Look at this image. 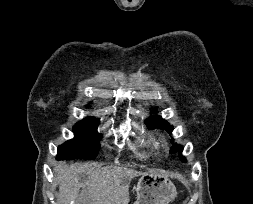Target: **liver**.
Returning a JSON list of instances; mask_svg holds the SVG:
<instances>
[{
    "label": "liver",
    "instance_id": "obj_1",
    "mask_svg": "<svg viewBox=\"0 0 253 204\" xmlns=\"http://www.w3.org/2000/svg\"><path fill=\"white\" fill-rule=\"evenodd\" d=\"M54 172L60 183L57 204H121L127 191L123 182L140 174L117 166L94 168L66 162H59Z\"/></svg>",
    "mask_w": 253,
    "mask_h": 204
}]
</instances>
